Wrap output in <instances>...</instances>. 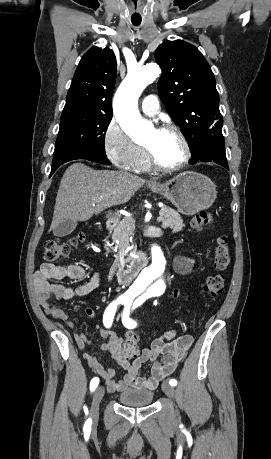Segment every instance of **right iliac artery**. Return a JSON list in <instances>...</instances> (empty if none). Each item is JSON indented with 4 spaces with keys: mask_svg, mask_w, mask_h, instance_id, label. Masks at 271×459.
Instances as JSON below:
<instances>
[{
    "mask_svg": "<svg viewBox=\"0 0 271 459\" xmlns=\"http://www.w3.org/2000/svg\"><path fill=\"white\" fill-rule=\"evenodd\" d=\"M131 303H132V301H128V300L121 299V298H119L116 301H113L112 303H110L109 306L106 308V310L104 312V315H103L104 326L106 328H110L111 327L118 304H125L126 305V304H131ZM98 384H99V378L98 377H94L90 382V390H91V392H93L96 389ZM88 421L91 422L90 419Z\"/></svg>",
    "mask_w": 271,
    "mask_h": 459,
    "instance_id": "obj_1",
    "label": "right iliac artery"
}]
</instances>
